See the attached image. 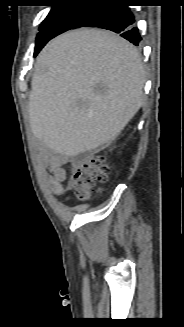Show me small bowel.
Listing matches in <instances>:
<instances>
[{
  "instance_id": "obj_1",
  "label": "small bowel",
  "mask_w": 184,
  "mask_h": 327,
  "mask_svg": "<svg viewBox=\"0 0 184 327\" xmlns=\"http://www.w3.org/2000/svg\"><path fill=\"white\" fill-rule=\"evenodd\" d=\"M41 155L52 173L50 177L52 193L55 196H62L65 192L64 182L67 180L65 166L70 164V159L67 156H57L49 152H42Z\"/></svg>"
}]
</instances>
